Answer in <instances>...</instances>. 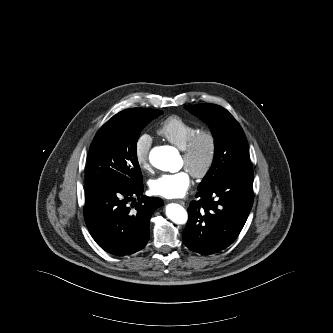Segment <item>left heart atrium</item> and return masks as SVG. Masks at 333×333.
Returning <instances> with one entry per match:
<instances>
[{
	"instance_id": "39dd6f15",
	"label": "left heart atrium",
	"mask_w": 333,
	"mask_h": 333,
	"mask_svg": "<svg viewBox=\"0 0 333 333\" xmlns=\"http://www.w3.org/2000/svg\"><path fill=\"white\" fill-rule=\"evenodd\" d=\"M191 185V177L187 170L163 174L150 182L153 194L172 199L183 197Z\"/></svg>"
}]
</instances>
